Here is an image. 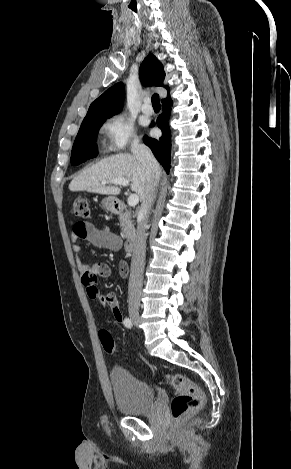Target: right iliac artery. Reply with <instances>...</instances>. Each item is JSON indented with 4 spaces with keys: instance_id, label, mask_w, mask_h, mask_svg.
<instances>
[{
    "instance_id": "82829eb1",
    "label": "right iliac artery",
    "mask_w": 291,
    "mask_h": 469,
    "mask_svg": "<svg viewBox=\"0 0 291 469\" xmlns=\"http://www.w3.org/2000/svg\"><path fill=\"white\" fill-rule=\"evenodd\" d=\"M124 325H125V327H127V328L130 329V328H132L133 323H132V321H131L130 318H125V319H124Z\"/></svg>"
}]
</instances>
